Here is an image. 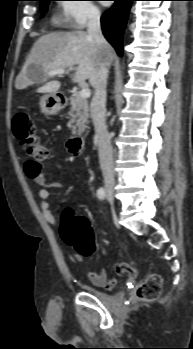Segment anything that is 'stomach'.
<instances>
[{"instance_id":"0dacf381","label":"stomach","mask_w":193,"mask_h":349,"mask_svg":"<svg viewBox=\"0 0 193 349\" xmlns=\"http://www.w3.org/2000/svg\"><path fill=\"white\" fill-rule=\"evenodd\" d=\"M41 111L46 115H54L62 109L61 99L56 93H49L40 98Z\"/></svg>"}]
</instances>
